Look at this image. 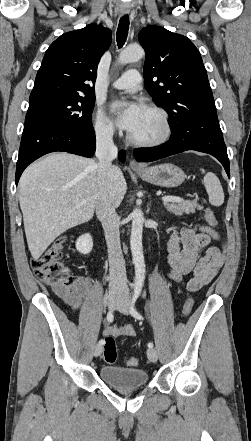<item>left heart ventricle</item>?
Returning a JSON list of instances; mask_svg holds the SVG:
<instances>
[{"mask_svg":"<svg viewBox=\"0 0 251 441\" xmlns=\"http://www.w3.org/2000/svg\"><path fill=\"white\" fill-rule=\"evenodd\" d=\"M162 132L163 126L159 115L145 108L137 126L130 134L139 140H151L159 137Z\"/></svg>","mask_w":251,"mask_h":441,"instance_id":"b2bd125f","label":"left heart ventricle"}]
</instances>
